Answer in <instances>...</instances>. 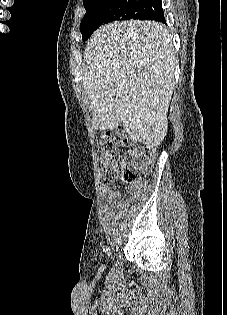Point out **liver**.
Returning a JSON list of instances; mask_svg holds the SVG:
<instances>
[{
	"label": "liver",
	"mask_w": 227,
	"mask_h": 315,
	"mask_svg": "<svg viewBox=\"0 0 227 315\" xmlns=\"http://www.w3.org/2000/svg\"><path fill=\"white\" fill-rule=\"evenodd\" d=\"M83 93L93 125L123 124L134 141L157 147L164 140L176 66L172 37L154 21H121L100 27L84 52Z\"/></svg>",
	"instance_id": "obj_1"
}]
</instances>
